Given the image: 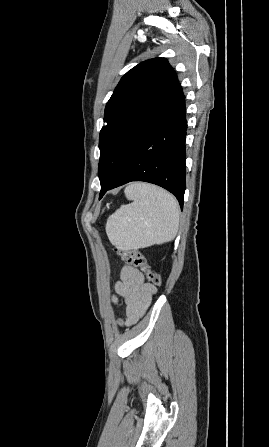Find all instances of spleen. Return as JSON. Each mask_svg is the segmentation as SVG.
Listing matches in <instances>:
<instances>
[{"mask_svg": "<svg viewBox=\"0 0 269 447\" xmlns=\"http://www.w3.org/2000/svg\"><path fill=\"white\" fill-rule=\"evenodd\" d=\"M132 204L121 206L106 224V233L119 249H139L174 239L179 229L176 198L158 186L130 182L124 190Z\"/></svg>", "mask_w": 269, "mask_h": 447, "instance_id": "1", "label": "spleen"}]
</instances>
